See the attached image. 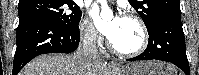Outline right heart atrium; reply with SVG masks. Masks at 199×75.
<instances>
[{
	"instance_id": "d8ad5b80",
	"label": "right heart atrium",
	"mask_w": 199,
	"mask_h": 75,
	"mask_svg": "<svg viewBox=\"0 0 199 75\" xmlns=\"http://www.w3.org/2000/svg\"><path fill=\"white\" fill-rule=\"evenodd\" d=\"M80 33L82 39L90 45H98L101 41V37L98 34L94 23L87 17L81 22Z\"/></svg>"
}]
</instances>
